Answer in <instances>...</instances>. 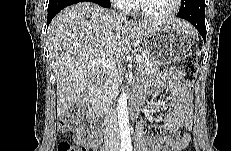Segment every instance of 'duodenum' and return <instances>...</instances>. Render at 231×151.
I'll use <instances>...</instances> for the list:
<instances>
[{"label":"duodenum","mask_w":231,"mask_h":151,"mask_svg":"<svg viewBox=\"0 0 231 151\" xmlns=\"http://www.w3.org/2000/svg\"><path fill=\"white\" fill-rule=\"evenodd\" d=\"M97 96V86L94 85L91 90L89 95L85 98L84 103L86 108L93 112L96 110V106L94 105V99ZM140 105L141 102L139 99H134L132 101V109H133V114L134 115H138L139 113V109H140ZM91 118H93V120L96 122L98 119H100L101 121H103V123L105 125H109L110 123V119H111V115L110 113L106 110V109H99L97 112V116H92Z\"/></svg>","instance_id":"duodenum-1"}]
</instances>
